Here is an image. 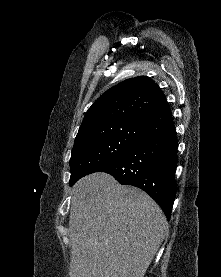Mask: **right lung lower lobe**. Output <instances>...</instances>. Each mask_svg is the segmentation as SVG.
I'll return each mask as SVG.
<instances>
[{"label": "right lung lower lobe", "instance_id": "obj_1", "mask_svg": "<svg viewBox=\"0 0 221 277\" xmlns=\"http://www.w3.org/2000/svg\"><path fill=\"white\" fill-rule=\"evenodd\" d=\"M141 135L131 149L100 172L111 174L123 185H133L148 193L167 219L176 196L175 170L177 138L167 104L139 120Z\"/></svg>", "mask_w": 221, "mask_h": 277}]
</instances>
